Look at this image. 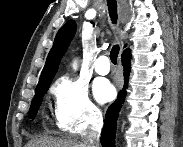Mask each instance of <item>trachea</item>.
<instances>
[{
  "instance_id": "obj_1",
  "label": "trachea",
  "mask_w": 183,
  "mask_h": 147,
  "mask_svg": "<svg viewBox=\"0 0 183 147\" xmlns=\"http://www.w3.org/2000/svg\"><path fill=\"white\" fill-rule=\"evenodd\" d=\"M109 15L113 24L117 22V3L115 0H107ZM119 54V45H114L110 52V59L111 62L116 65L117 64V57Z\"/></svg>"
}]
</instances>
